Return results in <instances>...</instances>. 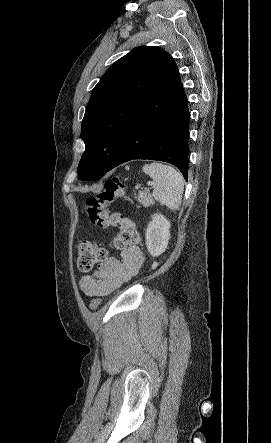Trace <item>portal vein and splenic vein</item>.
Wrapping results in <instances>:
<instances>
[{"label":"portal vein and splenic vein","mask_w":271,"mask_h":443,"mask_svg":"<svg viewBox=\"0 0 271 443\" xmlns=\"http://www.w3.org/2000/svg\"><path fill=\"white\" fill-rule=\"evenodd\" d=\"M147 186H153V182H147Z\"/></svg>","instance_id":"1"}]
</instances>
